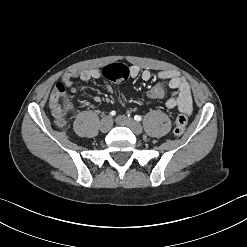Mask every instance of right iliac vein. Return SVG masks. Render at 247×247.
Masks as SVG:
<instances>
[{
  "label": "right iliac vein",
  "instance_id": "obj_1",
  "mask_svg": "<svg viewBox=\"0 0 247 247\" xmlns=\"http://www.w3.org/2000/svg\"><path fill=\"white\" fill-rule=\"evenodd\" d=\"M112 127V119L110 116H105L101 119L99 128L101 132H108Z\"/></svg>",
  "mask_w": 247,
  "mask_h": 247
}]
</instances>
